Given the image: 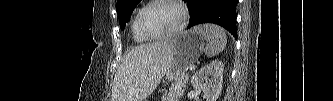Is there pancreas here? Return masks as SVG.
Masks as SVG:
<instances>
[{
	"instance_id": "pancreas-1",
	"label": "pancreas",
	"mask_w": 333,
	"mask_h": 101,
	"mask_svg": "<svg viewBox=\"0 0 333 101\" xmlns=\"http://www.w3.org/2000/svg\"><path fill=\"white\" fill-rule=\"evenodd\" d=\"M188 82V75H183L178 79L167 92L162 96V101H179L183 96Z\"/></svg>"
}]
</instances>
